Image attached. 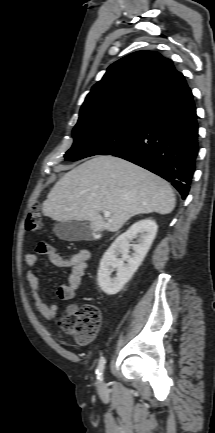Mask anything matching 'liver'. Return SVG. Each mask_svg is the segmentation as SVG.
<instances>
[{"mask_svg": "<svg viewBox=\"0 0 215 433\" xmlns=\"http://www.w3.org/2000/svg\"><path fill=\"white\" fill-rule=\"evenodd\" d=\"M176 197L159 176L111 155L96 156L64 174L43 203L58 222L89 221L93 232L118 231L131 217L173 211ZM101 211H109L103 218Z\"/></svg>", "mask_w": 215, "mask_h": 433, "instance_id": "liver-1", "label": "liver"}]
</instances>
